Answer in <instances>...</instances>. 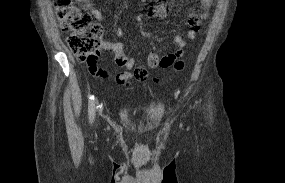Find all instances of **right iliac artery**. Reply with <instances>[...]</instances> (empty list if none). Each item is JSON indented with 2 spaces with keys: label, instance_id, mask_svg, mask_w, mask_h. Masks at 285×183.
I'll list each match as a JSON object with an SVG mask.
<instances>
[{
  "label": "right iliac artery",
  "instance_id": "82829eb1",
  "mask_svg": "<svg viewBox=\"0 0 285 183\" xmlns=\"http://www.w3.org/2000/svg\"><path fill=\"white\" fill-rule=\"evenodd\" d=\"M88 114H89V121L92 123L94 120V116H95V97H94V95H91L89 97Z\"/></svg>",
  "mask_w": 285,
  "mask_h": 183
}]
</instances>
